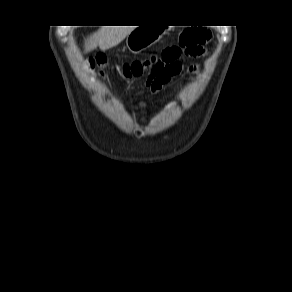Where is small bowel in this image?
<instances>
[{"mask_svg": "<svg viewBox=\"0 0 292 292\" xmlns=\"http://www.w3.org/2000/svg\"><path fill=\"white\" fill-rule=\"evenodd\" d=\"M163 84L158 85L155 89H159Z\"/></svg>", "mask_w": 292, "mask_h": 292, "instance_id": "c3829d8e", "label": "small bowel"}]
</instances>
